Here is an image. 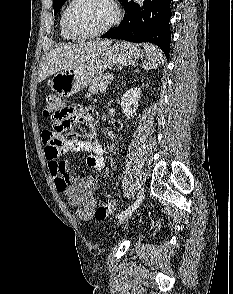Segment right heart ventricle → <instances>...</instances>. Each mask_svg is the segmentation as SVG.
<instances>
[{
  "instance_id": "1",
  "label": "right heart ventricle",
  "mask_w": 233,
  "mask_h": 294,
  "mask_svg": "<svg viewBox=\"0 0 233 294\" xmlns=\"http://www.w3.org/2000/svg\"><path fill=\"white\" fill-rule=\"evenodd\" d=\"M59 28H60V35L66 39V40H72L74 39L72 36H70L64 29V26H63V14L61 15V18H60V22H59Z\"/></svg>"
}]
</instances>
